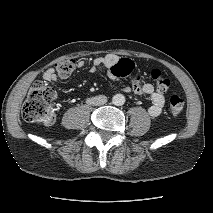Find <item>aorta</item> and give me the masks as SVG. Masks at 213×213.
I'll list each match as a JSON object with an SVG mask.
<instances>
[{
	"label": "aorta",
	"mask_w": 213,
	"mask_h": 213,
	"mask_svg": "<svg viewBox=\"0 0 213 213\" xmlns=\"http://www.w3.org/2000/svg\"><path fill=\"white\" fill-rule=\"evenodd\" d=\"M112 102L116 106H122L125 103V97L122 94H116L113 96Z\"/></svg>",
	"instance_id": "1"
}]
</instances>
